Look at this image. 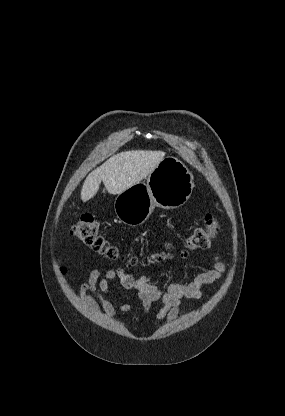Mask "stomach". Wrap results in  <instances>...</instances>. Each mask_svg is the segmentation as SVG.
<instances>
[{
    "instance_id": "obj_1",
    "label": "stomach",
    "mask_w": 285,
    "mask_h": 416,
    "mask_svg": "<svg viewBox=\"0 0 285 416\" xmlns=\"http://www.w3.org/2000/svg\"><path fill=\"white\" fill-rule=\"evenodd\" d=\"M194 188L191 172L183 162L167 156L149 174L146 184L139 182L114 202L117 218L128 226H140L148 220L154 208L175 210L189 200Z\"/></svg>"
}]
</instances>
